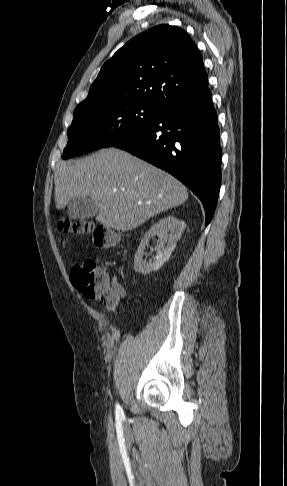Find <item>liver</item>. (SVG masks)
Segmentation results:
<instances>
[{
    "instance_id": "liver-1",
    "label": "liver",
    "mask_w": 287,
    "mask_h": 486,
    "mask_svg": "<svg viewBox=\"0 0 287 486\" xmlns=\"http://www.w3.org/2000/svg\"><path fill=\"white\" fill-rule=\"evenodd\" d=\"M54 183L58 209L74 197H90L98 207L96 221L117 231L132 230L188 199L176 178L116 148L74 163L59 162Z\"/></svg>"
}]
</instances>
